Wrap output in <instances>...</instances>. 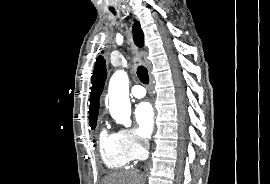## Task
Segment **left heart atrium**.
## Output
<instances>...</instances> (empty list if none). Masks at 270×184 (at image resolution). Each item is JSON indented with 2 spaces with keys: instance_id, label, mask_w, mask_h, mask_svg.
<instances>
[{
  "instance_id": "left-heart-atrium-1",
  "label": "left heart atrium",
  "mask_w": 270,
  "mask_h": 184,
  "mask_svg": "<svg viewBox=\"0 0 270 184\" xmlns=\"http://www.w3.org/2000/svg\"><path fill=\"white\" fill-rule=\"evenodd\" d=\"M135 119L141 136L149 137L154 127V111L148 102H142L136 107Z\"/></svg>"
}]
</instances>
